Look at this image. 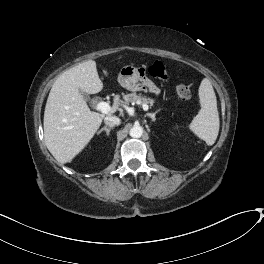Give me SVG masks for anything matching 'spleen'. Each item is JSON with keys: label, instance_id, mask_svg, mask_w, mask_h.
<instances>
[{"label": "spleen", "instance_id": "spleen-1", "mask_svg": "<svg viewBox=\"0 0 264 264\" xmlns=\"http://www.w3.org/2000/svg\"><path fill=\"white\" fill-rule=\"evenodd\" d=\"M199 99L201 109L190 123L189 129L210 146L217 139L220 121L216 95L207 78H204L199 86Z\"/></svg>", "mask_w": 264, "mask_h": 264}]
</instances>
